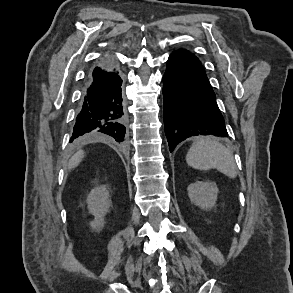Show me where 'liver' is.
<instances>
[{
  "instance_id": "liver-1",
  "label": "liver",
  "mask_w": 293,
  "mask_h": 293,
  "mask_svg": "<svg viewBox=\"0 0 293 293\" xmlns=\"http://www.w3.org/2000/svg\"><path fill=\"white\" fill-rule=\"evenodd\" d=\"M83 158H84L83 150H79L78 152H76L69 160L68 169L71 170L75 168L81 162Z\"/></svg>"
}]
</instances>
